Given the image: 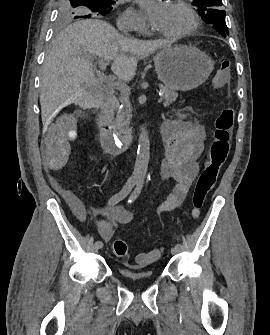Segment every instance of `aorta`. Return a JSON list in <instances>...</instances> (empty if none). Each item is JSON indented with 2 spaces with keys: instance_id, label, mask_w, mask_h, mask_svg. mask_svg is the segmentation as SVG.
<instances>
[{
  "instance_id": "1",
  "label": "aorta",
  "mask_w": 270,
  "mask_h": 335,
  "mask_svg": "<svg viewBox=\"0 0 270 335\" xmlns=\"http://www.w3.org/2000/svg\"><path fill=\"white\" fill-rule=\"evenodd\" d=\"M150 158V140L146 130H142L138 140L136 162L131 175L136 181H144Z\"/></svg>"
}]
</instances>
